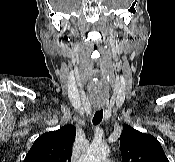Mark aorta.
Listing matches in <instances>:
<instances>
[{
	"label": "aorta",
	"mask_w": 175,
	"mask_h": 162,
	"mask_svg": "<svg viewBox=\"0 0 175 162\" xmlns=\"http://www.w3.org/2000/svg\"><path fill=\"white\" fill-rule=\"evenodd\" d=\"M109 152V147L105 143L93 142L81 162H103Z\"/></svg>",
	"instance_id": "aorta-1"
}]
</instances>
